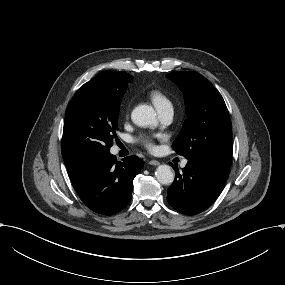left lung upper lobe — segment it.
Returning <instances> with one entry per match:
<instances>
[{
  "instance_id": "left-lung-upper-lobe-1",
  "label": "left lung upper lobe",
  "mask_w": 285,
  "mask_h": 285,
  "mask_svg": "<svg viewBox=\"0 0 285 285\" xmlns=\"http://www.w3.org/2000/svg\"><path fill=\"white\" fill-rule=\"evenodd\" d=\"M166 77L182 91L187 114L173 149L188 160L214 161L230 166L232 125L220 93L194 71H174Z\"/></svg>"
}]
</instances>
